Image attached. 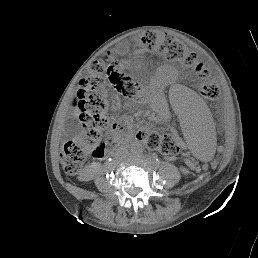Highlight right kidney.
<instances>
[{
  "instance_id": "ca27d5eb",
  "label": "right kidney",
  "mask_w": 258,
  "mask_h": 258,
  "mask_svg": "<svg viewBox=\"0 0 258 258\" xmlns=\"http://www.w3.org/2000/svg\"><path fill=\"white\" fill-rule=\"evenodd\" d=\"M93 178V173L88 169H83L80 173L79 179L81 181H89Z\"/></svg>"
}]
</instances>
